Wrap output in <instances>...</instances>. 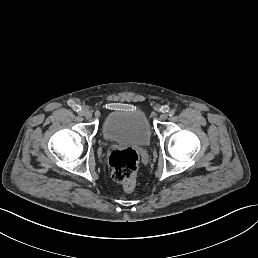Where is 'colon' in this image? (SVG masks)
Here are the masks:
<instances>
[{
  "instance_id": "1",
  "label": "colon",
  "mask_w": 258,
  "mask_h": 258,
  "mask_svg": "<svg viewBox=\"0 0 258 258\" xmlns=\"http://www.w3.org/2000/svg\"><path fill=\"white\" fill-rule=\"evenodd\" d=\"M138 163L139 155L132 148L114 149L109 156L113 179L127 190L135 185Z\"/></svg>"
}]
</instances>
